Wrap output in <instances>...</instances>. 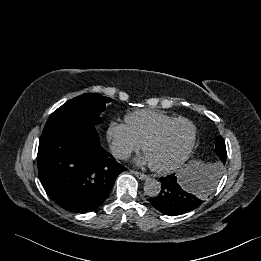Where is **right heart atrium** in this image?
<instances>
[{
    "label": "right heart atrium",
    "mask_w": 261,
    "mask_h": 261,
    "mask_svg": "<svg viewBox=\"0 0 261 261\" xmlns=\"http://www.w3.org/2000/svg\"><path fill=\"white\" fill-rule=\"evenodd\" d=\"M106 138L112 153L119 159H127L141 148V144L135 139L126 124L120 122L109 123Z\"/></svg>",
    "instance_id": "right-heart-atrium-1"
}]
</instances>
